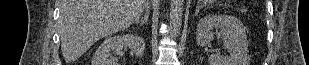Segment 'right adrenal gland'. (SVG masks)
<instances>
[{"label": "right adrenal gland", "instance_id": "obj_1", "mask_svg": "<svg viewBox=\"0 0 309 65\" xmlns=\"http://www.w3.org/2000/svg\"><path fill=\"white\" fill-rule=\"evenodd\" d=\"M148 18H149V9H148V7H147L146 12H145V15H144V18H142L141 20H138V21L136 22V24H140L141 26H143L144 24L147 23Z\"/></svg>", "mask_w": 309, "mask_h": 65}]
</instances>
